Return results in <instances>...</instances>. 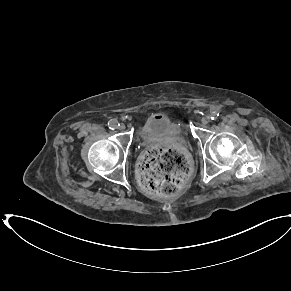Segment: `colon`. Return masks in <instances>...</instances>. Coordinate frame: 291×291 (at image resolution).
<instances>
[{
  "instance_id": "1",
  "label": "colon",
  "mask_w": 291,
  "mask_h": 291,
  "mask_svg": "<svg viewBox=\"0 0 291 291\" xmlns=\"http://www.w3.org/2000/svg\"><path fill=\"white\" fill-rule=\"evenodd\" d=\"M189 172L186 156L174 147L149 148L139 166L141 186L157 197L177 194L185 186Z\"/></svg>"
}]
</instances>
